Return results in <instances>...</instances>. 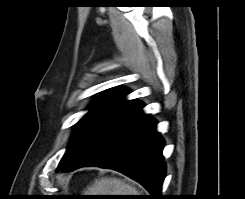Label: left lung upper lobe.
I'll use <instances>...</instances> for the list:
<instances>
[{
    "label": "left lung upper lobe",
    "instance_id": "obj_1",
    "mask_svg": "<svg viewBox=\"0 0 245 199\" xmlns=\"http://www.w3.org/2000/svg\"><path fill=\"white\" fill-rule=\"evenodd\" d=\"M129 92L123 89H113L101 94L89 107L85 114L75 125L74 134L67 151L61 159L56 172L64 171L82 153L90 140L109 122L114 120L135 100L125 99Z\"/></svg>",
    "mask_w": 245,
    "mask_h": 199
}]
</instances>
